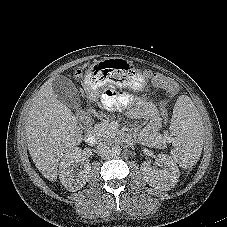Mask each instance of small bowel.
<instances>
[{"instance_id":"obj_1","label":"small bowel","mask_w":227,"mask_h":227,"mask_svg":"<svg viewBox=\"0 0 227 227\" xmlns=\"http://www.w3.org/2000/svg\"><path fill=\"white\" fill-rule=\"evenodd\" d=\"M102 106L105 110H112L118 105L125 104V99L122 97H118L113 91L106 90L102 96ZM159 128V121L157 118H152L149 120L147 125L148 131L154 133Z\"/></svg>"}]
</instances>
